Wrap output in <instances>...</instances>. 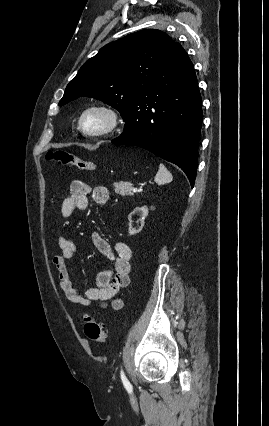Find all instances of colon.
Returning <instances> with one entry per match:
<instances>
[{
  "mask_svg": "<svg viewBox=\"0 0 269 426\" xmlns=\"http://www.w3.org/2000/svg\"><path fill=\"white\" fill-rule=\"evenodd\" d=\"M47 159L63 166H74L83 171H93L95 164L92 161L83 160L67 150H53L47 153ZM84 332L86 336L95 342L104 344L107 342V333L102 324L91 315L84 318Z\"/></svg>",
  "mask_w": 269,
  "mask_h": 426,
  "instance_id": "1",
  "label": "colon"
}]
</instances>
